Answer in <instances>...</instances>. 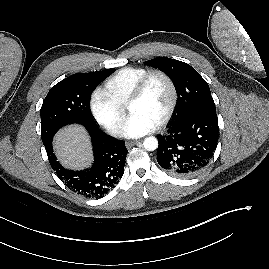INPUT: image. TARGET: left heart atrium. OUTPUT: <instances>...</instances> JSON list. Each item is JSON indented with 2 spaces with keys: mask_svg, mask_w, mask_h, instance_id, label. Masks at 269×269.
Returning <instances> with one entry per match:
<instances>
[{
  "mask_svg": "<svg viewBox=\"0 0 269 269\" xmlns=\"http://www.w3.org/2000/svg\"><path fill=\"white\" fill-rule=\"evenodd\" d=\"M156 128V124L141 114H131L127 119L123 134L126 137L138 138L152 132Z\"/></svg>",
  "mask_w": 269,
  "mask_h": 269,
  "instance_id": "obj_1",
  "label": "left heart atrium"
}]
</instances>
